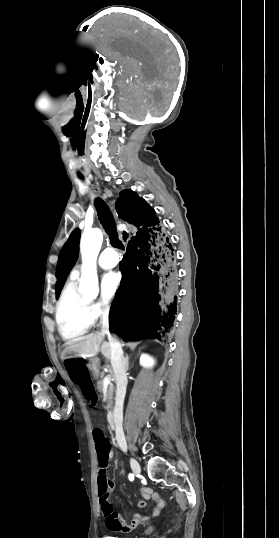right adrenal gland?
Instances as JSON below:
<instances>
[{
    "label": "right adrenal gland",
    "mask_w": 279,
    "mask_h": 538,
    "mask_svg": "<svg viewBox=\"0 0 279 538\" xmlns=\"http://www.w3.org/2000/svg\"><path fill=\"white\" fill-rule=\"evenodd\" d=\"M128 360H129V358H128L127 354H126V358H125L126 364H127Z\"/></svg>",
    "instance_id": "1"
}]
</instances>
